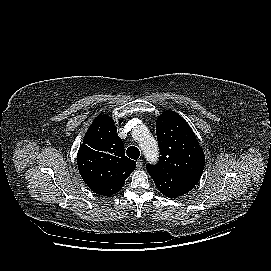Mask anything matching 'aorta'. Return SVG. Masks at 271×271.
<instances>
[{"label": "aorta", "mask_w": 271, "mask_h": 271, "mask_svg": "<svg viewBox=\"0 0 271 271\" xmlns=\"http://www.w3.org/2000/svg\"><path fill=\"white\" fill-rule=\"evenodd\" d=\"M134 136L138 139L147 160L155 162L159 154V149L156 140L151 136L148 128L145 125H139L134 129Z\"/></svg>", "instance_id": "aorta-1"}]
</instances>
